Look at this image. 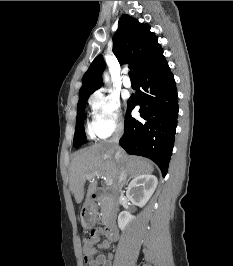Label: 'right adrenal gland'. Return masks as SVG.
<instances>
[{
    "label": "right adrenal gland",
    "mask_w": 233,
    "mask_h": 266,
    "mask_svg": "<svg viewBox=\"0 0 233 266\" xmlns=\"http://www.w3.org/2000/svg\"><path fill=\"white\" fill-rule=\"evenodd\" d=\"M130 179H131V177L127 180V182H126V185L128 184V182L130 181Z\"/></svg>",
    "instance_id": "2a0ac1e0"
}]
</instances>
